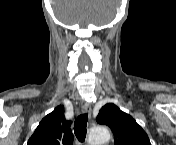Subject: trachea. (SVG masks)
<instances>
[{
  "mask_svg": "<svg viewBox=\"0 0 176 145\" xmlns=\"http://www.w3.org/2000/svg\"><path fill=\"white\" fill-rule=\"evenodd\" d=\"M88 121V115L86 113L81 114L75 120L74 133L80 142H84L87 134L86 126Z\"/></svg>",
  "mask_w": 176,
  "mask_h": 145,
  "instance_id": "obj_1",
  "label": "trachea"
}]
</instances>
